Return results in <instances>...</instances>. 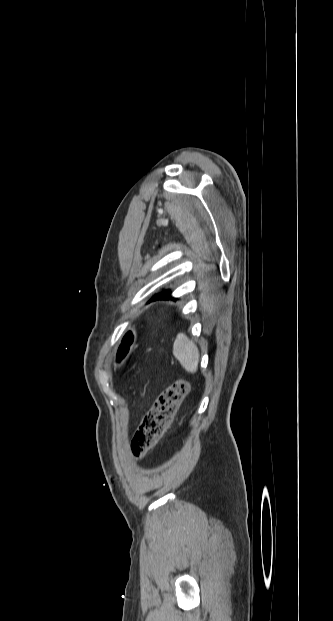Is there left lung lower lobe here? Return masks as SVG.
<instances>
[{
    "label": "left lung lower lobe",
    "mask_w": 333,
    "mask_h": 621,
    "mask_svg": "<svg viewBox=\"0 0 333 621\" xmlns=\"http://www.w3.org/2000/svg\"><path fill=\"white\" fill-rule=\"evenodd\" d=\"M171 298H173L171 296V291L170 290H164L161 293L156 294L155 296H153V298L151 300L154 301V300H159V299H171Z\"/></svg>",
    "instance_id": "0a47b994"
}]
</instances>
